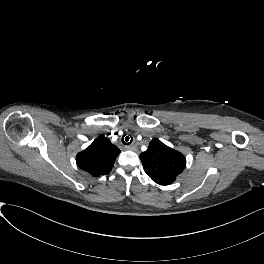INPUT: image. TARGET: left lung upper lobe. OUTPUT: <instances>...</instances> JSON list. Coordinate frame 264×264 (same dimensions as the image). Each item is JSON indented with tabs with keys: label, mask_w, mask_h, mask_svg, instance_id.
<instances>
[{
	"label": "left lung upper lobe",
	"mask_w": 264,
	"mask_h": 264,
	"mask_svg": "<svg viewBox=\"0 0 264 264\" xmlns=\"http://www.w3.org/2000/svg\"><path fill=\"white\" fill-rule=\"evenodd\" d=\"M146 174L160 185H170L186 166L185 157L166 146L159 139L150 142L149 148L140 154Z\"/></svg>",
	"instance_id": "1"
}]
</instances>
